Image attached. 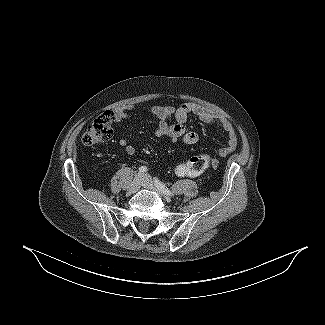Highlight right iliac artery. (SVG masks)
I'll use <instances>...</instances> for the list:
<instances>
[{"label": "right iliac artery", "mask_w": 325, "mask_h": 325, "mask_svg": "<svg viewBox=\"0 0 325 325\" xmlns=\"http://www.w3.org/2000/svg\"><path fill=\"white\" fill-rule=\"evenodd\" d=\"M147 171H148V169H147L146 166H141V167L139 168V172H140V173H145V172H147Z\"/></svg>", "instance_id": "82829eb1"}]
</instances>
